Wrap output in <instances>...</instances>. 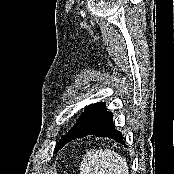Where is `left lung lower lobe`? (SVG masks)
<instances>
[{
  "instance_id": "0a47b994",
  "label": "left lung lower lobe",
  "mask_w": 175,
  "mask_h": 174,
  "mask_svg": "<svg viewBox=\"0 0 175 174\" xmlns=\"http://www.w3.org/2000/svg\"><path fill=\"white\" fill-rule=\"evenodd\" d=\"M87 135L108 137L124 144L122 133L113 128V115L104 102L86 106L72 129L63 137V146L76 138Z\"/></svg>"
}]
</instances>
